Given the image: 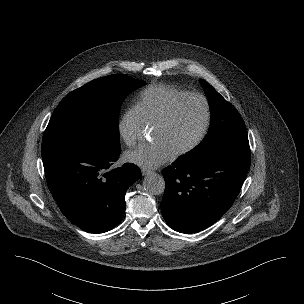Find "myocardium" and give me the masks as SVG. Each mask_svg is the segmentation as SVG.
<instances>
[{"mask_svg":"<svg viewBox=\"0 0 304 304\" xmlns=\"http://www.w3.org/2000/svg\"><path fill=\"white\" fill-rule=\"evenodd\" d=\"M190 99H198L203 103L204 110H205L204 122H203L202 128H201L198 136L195 138V140L191 144L186 146L185 148L174 153L175 158L183 157V156L190 154L191 152L196 150L202 144L204 139L206 138L210 125H211V120H212V109H211V104H210L208 98L205 95H203L201 93H196V92L187 93V94L179 97L168 107L166 112L153 126L154 128H159V127H163V126L167 125L173 118L177 109L185 101L190 100Z\"/></svg>","mask_w":304,"mask_h":304,"instance_id":"myocardium-1","label":"myocardium"}]
</instances>
